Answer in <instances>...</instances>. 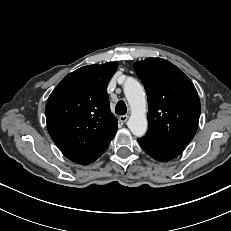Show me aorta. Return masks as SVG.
I'll return each mask as SVG.
<instances>
[{
  "mask_svg": "<svg viewBox=\"0 0 231 231\" xmlns=\"http://www.w3.org/2000/svg\"><path fill=\"white\" fill-rule=\"evenodd\" d=\"M124 94L131 108V116L128 120V128L133 135L142 137L147 131L146 99L143 87L132 77H127L124 86Z\"/></svg>",
  "mask_w": 231,
  "mask_h": 231,
  "instance_id": "aorta-1",
  "label": "aorta"
}]
</instances>
